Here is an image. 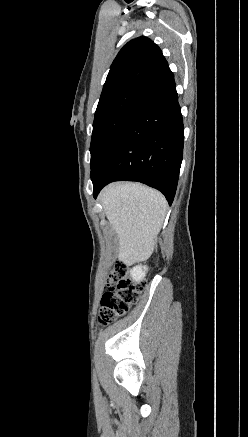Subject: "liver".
Segmentation results:
<instances>
[{
  "instance_id": "liver-1",
  "label": "liver",
  "mask_w": 248,
  "mask_h": 437,
  "mask_svg": "<svg viewBox=\"0 0 248 437\" xmlns=\"http://www.w3.org/2000/svg\"><path fill=\"white\" fill-rule=\"evenodd\" d=\"M100 202L119 238V260L133 264L148 259L165 218L164 196L139 183H113L102 190Z\"/></svg>"
}]
</instances>
